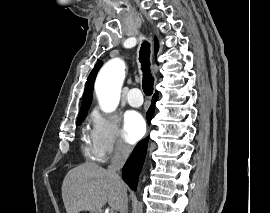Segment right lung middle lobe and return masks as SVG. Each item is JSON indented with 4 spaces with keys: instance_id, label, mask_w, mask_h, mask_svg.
<instances>
[{
    "instance_id": "obj_1",
    "label": "right lung middle lobe",
    "mask_w": 270,
    "mask_h": 213,
    "mask_svg": "<svg viewBox=\"0 0 270 213\" xmlns=\"http://www.w3.org/2000/svg\"><path fill=\"white\" fill-rule=\"evenodd\" d=\"M85 116H86V113H80L78 116L77 123H80L84 119Z\"/></svg>"
}]
</instances>
